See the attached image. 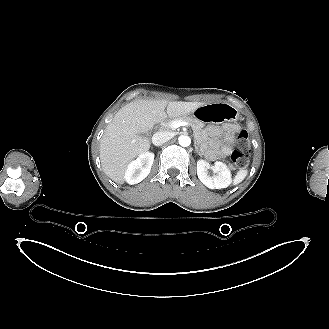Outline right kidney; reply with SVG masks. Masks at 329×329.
I'll list each match as a JSON object with an SVG mask.
<instances>
[{"label":"right kidney","instance_id":"1","mask_svg":"<svg viewBox=\"0 0 329 329\" xmlns=\"http://www.w3.org/2000/svg\"><path fill=\"white\" fill-rule=\"evenodd\" d=\"M153 161V153H142L136 160L128 165L124 176L125 181L128 184L133 185L144 180L150 173Z\"/></svg>","mask_w":329,"mask_h":329}]
</instances>
